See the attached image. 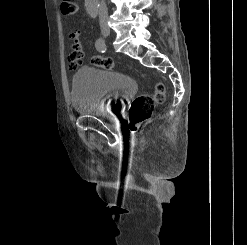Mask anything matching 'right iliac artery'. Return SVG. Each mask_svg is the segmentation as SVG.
<instances>
[{"label":"right iliac artery","mask_w":247,"mask_h":245,"mask_svg":"<svg viewBox=\"0 0 247 245\" xmlns=\"http://www.w3.org/2000/svg\"><path fill=\"white\" fill-rule=\"evenodd\" d=\"M95 47L99 52L104 53L106 51V43L102 38L96 40Z\"/></svg>","instance_id":"1"}]
</instances>
